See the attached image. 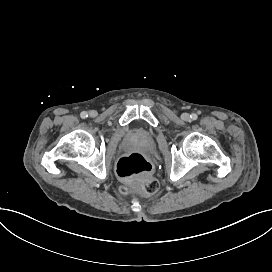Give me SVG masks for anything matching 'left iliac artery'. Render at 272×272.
I'll return each instance as SVG.
<instances>
[{
  "label": "left iliac artery",
  "mask_w": 272,
  "mask_h": 272,
  "mask_svg": "<svg viewBox=\"0 0 272 272\" xmlns=\"http://www.w3.org/2000/svg\"><path fill=\"white\" fill-rule=\"evenodd\" d=\"M190 118L192 120H196L198 118V116H197V114L193 113V114L190 115Z\"/></svg>",
  "instance_id": "left-iliac-artery-1"
}]
</instances>
